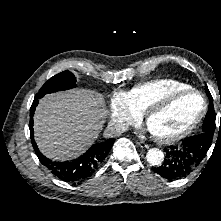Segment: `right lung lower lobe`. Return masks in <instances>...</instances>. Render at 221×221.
Listing matches in <instances>:
<instances>
[{"mask_svg": "<svg viewBox=\"0 0 221 221\" xmlns=\"http://www.w3.org/2000/svg\"><path fill=\"white\" fill-rule=\"evenodd\" d=\"M38 99L40 98L35 97L32 106L30 108L29 128L31 133V141L40 162L43 165H45L54 176L66 182H77L89 178L104 161L109 151L111 150L115 140L113 138H110L104 142L96 143L92 145L86 151V153H84L83 155L72 161L54 162L46 158L37 148V145L34 141L33 128H32L33 115L35 108L38 105Z\"/></svg>", "mask_w": 221, "mask_h": 221, "instance_id": "obj_1", "label": "right lung lower lobe"}]
</instances>
